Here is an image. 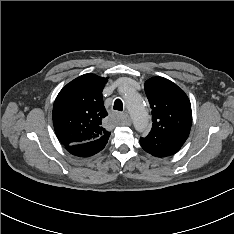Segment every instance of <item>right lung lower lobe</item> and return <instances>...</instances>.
<instances>
[{
	"label": "right lung lower lobe",
	"instance_id": "right-lung-lower-lobe-1",
	"mask_svg": "<svg viewBox=\"0 0 234 234\" xmlns=\"http://www.w3.org/2000/svg\"><path fill=\"white\" fill-rule=\"evenodd\" d=\"M107 142L108 140L97 139L94 141L67 146L66 149L75 156L89 157L101 151Z\"/></svg>",
	"mask_w": 234,
	"mask_h": 234
}]
</instances>
